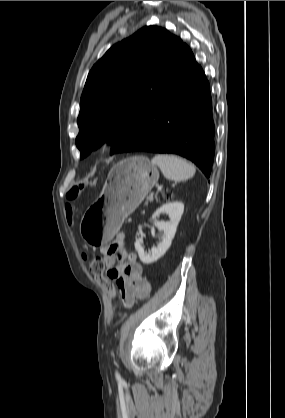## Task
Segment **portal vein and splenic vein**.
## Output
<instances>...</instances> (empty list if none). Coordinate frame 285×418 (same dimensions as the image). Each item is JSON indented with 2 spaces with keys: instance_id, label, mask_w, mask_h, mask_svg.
Wrapping results in <instances>:
<instances>
[{
  "instance_id": "18ae733b",
  "label": "portal vein and splenic vein",
  "mask_w": 285,
  "mask_h": 418,
  "mask_svg": "<svg viewBox=\"0 0 285 418\" xmlns=\"http://www.w3.org/2000/svg\"><path fill=\"white\" fill-rule=\"evenodd\" d=\"M162 187H163L162 185H158V187H157L158 191H161Z\"/></svg>"
}]
</instances>
